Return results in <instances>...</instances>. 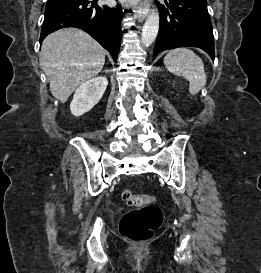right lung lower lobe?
<instances>
[{"label": "right lung lower lobe", "instance_id": "right-lung-lower-lobe-1", "mask_svg": "<svg viewBox=\"0 0 261 273\" xmlns=\"http://www.w3.org/2000/svg\"><path fill=\"white\" fill-rule=\"evenodd\" d=\"M98 0H48L40 42L64 27H77L96 39L117 60L122 37L121 7L98 6Z\"/></svg>", "mask_w": 261, "mask_h": 273}]
</instances>
